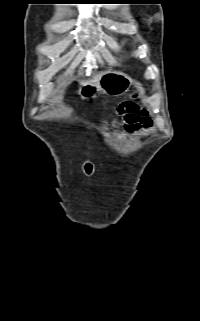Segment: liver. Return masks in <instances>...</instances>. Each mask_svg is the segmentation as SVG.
<instances>
[{
	"label": "liver",
	"mask_w": 200,
	"mask_h": 321,
	"mask_svg": "<svg viewBox=\"0 0 200 321\" xmlns=\"http://www.w3.org/2000/svg\"><path fill=\"white\" fill-rule=\"evenodd\" d=\"M102 75H103V73H99L97 76H95V77L93 78L92 81H98V80L101 78ZM85 83H86L85 81H82V82H81V84H85Z\"/></svg>",
	"instance_id": "liver-1"
}]
</instances>
